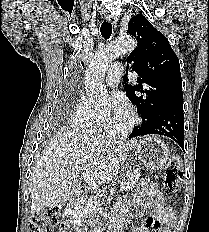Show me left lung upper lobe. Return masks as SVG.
<instances>
[{"instance_id": "obj_1", "label": "left lung upper lobe", "mask_w": 209, "mask_h": 232, "mask_svg": "<svg viewBox=\"0 0 209 232\" xmlns=\"http://www.w3.org/2000/svg\"><path fill=\"white\" fill-rule=\"evenodd\" d=\"M128 32L138 40L137 47L127 59V65L139 75V85L128 86L127 73L123 80L126 94L136 105L142 121L162 108L183 105L179 60L167 38L142 14L130 19Z\"/></svg>"}]
</instances>
